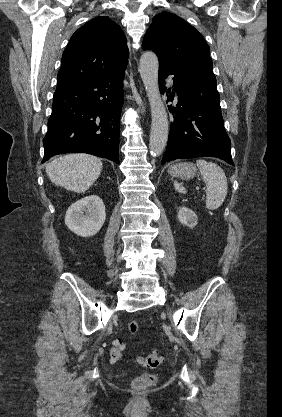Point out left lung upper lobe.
Returning a JSON list of instances; mask_svg holds the SVG:
<instances>
[{
    "mask_svg": "<svg viewBox=\"0 0 282 417\" xmlns=\"http://www.w3.org/2000/svg\"><path fill=\"white\" fill-rule=\"evenodd\" d=\"M142 47L155 51L161 68L213 71L210 49L202 35L172 13L162 12L153 17Z\"/></svg>",
    "mask_w": 282,
    "mask_h": 417,
    "instance_id": "5c2ea615",
    "label": "left lung upper lobe"
}]
</instances>
